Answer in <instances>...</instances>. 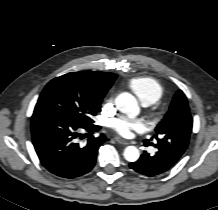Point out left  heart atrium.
I'll list each match as a JSON object with an SVG mask.
<instances>
[{"label":"left heart atrium","instance_id":"1","mask_svg":"<svg viewBox=\"0 0 218 210\" xmlns=\"http://www.w3.org/2000/svg\"><path fill=\"white\" fill-rule=\"evenodd\" d=\"M112 128L121 136L129 137L133 132L146 130V123L141 119L120 118L112 122Z\"/></svg>","mask_w":218,"mask_h":210}]
</instances>
